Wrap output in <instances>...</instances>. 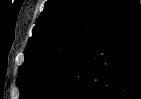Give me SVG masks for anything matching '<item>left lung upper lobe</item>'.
I'll return each mask as SVG.
<instances>
[{"instance_id":"obj_1","label":"left lung upper lobe","mask_w":141,"mask_h":99,"mask_svg":"<svg viewBox=\"0 0 141 99\" xmlns=\"http://www.w3.org/2000/svg\"><path fill=\"white\" fill-rule=\"evenodd\" d=\"M122 0H48L19 67L20 99H38Z\"/></svg>"}]
</instances>
